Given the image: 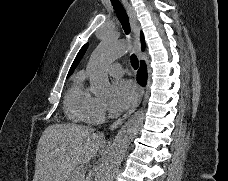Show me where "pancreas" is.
I'll list each match as a JSON object with an SVG mask.
<instances>
[{"label":"pancreas","instance_id":"pancreas-1","mask_svg":"<svg viewBox=\"0 0 228 181\" xmlns=\"http://www.w3.org/2000/svg\"><path fill=\"white\" fill-rule=\"evenodd\" d=\"M80 175H85V169H82V167H76V169L72 171L69 181H85L84 177H80Z\"/></svg>","mask_w":228,"mask_h":181}]
</instances>
